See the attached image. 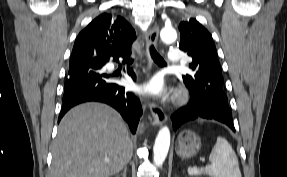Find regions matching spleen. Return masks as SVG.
Masks as SVG:
<instances>
[{
    "label": "spleen",
    "mask_w": 287,
    "mask_h": 177,
    "mask_svg": "<svg viewBox=\"0 0 287 177\" xmlns=\"http://www.w3.org/2000/svg\"><path fill=\"white\" fill-rule=\"evenodd\" d=\"M209 161L210 164L203 168L188 167V174L192 176L207 174L210 177H242L236 153L225 138L217 137Z\"/></svg>",
    "instance_id": "1"
}]
</instances>
